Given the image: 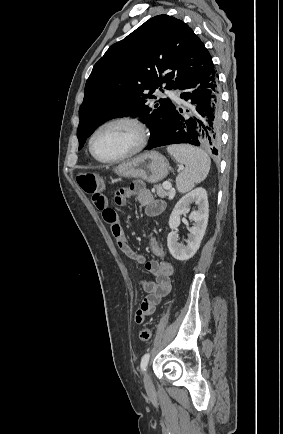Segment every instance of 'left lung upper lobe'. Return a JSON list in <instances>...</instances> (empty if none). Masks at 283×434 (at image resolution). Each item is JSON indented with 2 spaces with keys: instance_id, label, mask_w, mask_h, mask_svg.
<instances>
[{
  "instance_id": "left-lung-upper-lobe-1",
  "label": "left lung upper lobe",
  "mask_w": 283,
  "mask_h": 434,
  "mask_svg": "<svg viewBox=\"0 0 283 434\" xmlns=\"http://www.w3.org/2000/svg\"><path fill=\"white\" fill-rule=\"evenodd\" d=\"M211 62L203 42L182 20L168 15L149 19L94 65L79 110V149L102 123L126 115L141 117L151 130L150 143L155 142L175 106L168 99L149 105V99H157L152 93L162 83L179 90Z\"/></svg>"
}]
</instances>
